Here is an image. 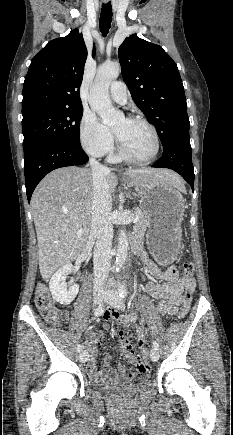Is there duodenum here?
Listing matches in <instances>:
<instances>
[{
  "label": "duodenum",
  "instance_id": "410a0bca",
  "mask_svg": "<svg viewBox=\"0 0 233 435\" xmlns=\"http://www.w3.org/2000/svg\"><path fill=\"white\" fill-rule=\"evenodd\" d=\"M133 250L137 253L138 252V246L136 243L133 244Z\"/></svg>",
  "mask_w": 233,
  "mask_h": 435
}]
</instances>
